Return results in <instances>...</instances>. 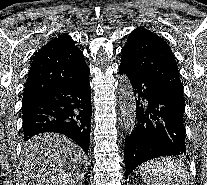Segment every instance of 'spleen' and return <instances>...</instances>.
I'll use <instances>...</instances> for the list:
<instances>
[{
	"mask_svg": "<svg viewBox=\"0 0 207 185\" xmlns=\"http://www.w3.org/2000/svg\"><path fill=\"white\" fill-rule=\"evenodd\" d=\"M173 158V153L167 154ZM136 177H143L150 185H188L190 183L189 167H185L181 159H150L134 166Z\"/></svg>",
	"mask_w": 207,
	"mask_h": 185,
	"instance_id": "spleen-1",
	"label": "spleen"
}]
</instances>
